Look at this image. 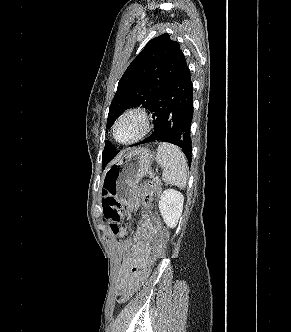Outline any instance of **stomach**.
Listing matches in <instances>:
<instances>
[{
  "mask_svg": "<svg viewBox=\"0 0 291 332\" xmlns=\"http://www.w3.org/2000/svg\"><path fill=\"white\" fill-rule=\"evenodd\" d=\"M151 164L149 150H131L106 170L102 180L103 188L117 201L133 208L138 202L137 184L148 174Z\"/></svg>",
  "mask_w": 291,
  "mask_h": 332,
  "instance_id": "1",
  "label": "stomach"
}]
</instances>
